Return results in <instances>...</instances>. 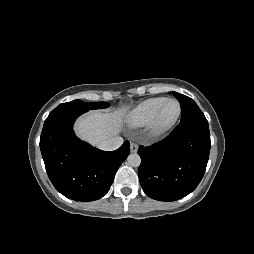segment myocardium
Segmentation results:
<instances>
[{"label": "myocardium", "instance_id": "myocardium-1", "mask_svg": "<svg viewBox=\"0 0 254 254\" xmlns=\"http://www.w3.org/2000/svg\"><path fill=\"white\" fill-rule=\"evenodd\" d=\"M169 102H175L178 106V111L176 116L168 123L161 122V115L163 113L164 107ZM181 104L177 99L168 98L162 103L160 108L157 110L151 121L148 123V133L151 137L159 138L167 134L178 122L181 116Z\"/></svg>", "mask_w": 254, "mask_h": 254}]
</instances>
